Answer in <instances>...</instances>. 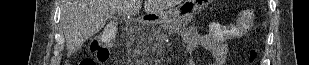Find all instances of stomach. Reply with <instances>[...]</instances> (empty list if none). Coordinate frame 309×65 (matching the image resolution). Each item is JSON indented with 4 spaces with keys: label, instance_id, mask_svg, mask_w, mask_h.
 <instances>
[{
    "label": "stomach",
    "instance_id": "obj_1",
    "mask_svg": "<svg viewBox=\"0 0 309 65\" xmlns=\"http://www.w3.org/2000/svg\"><path fill=\"white\" fill-rule=\"evenodd\" d=\"M208 0H184L176 8L154 14L150 17L152 24H166L167 26L182 27L187 16L194 14L208 4Z\"/></svg>",
    "mask_w": 309,
    "mask_h": 65
}]
</instances>
